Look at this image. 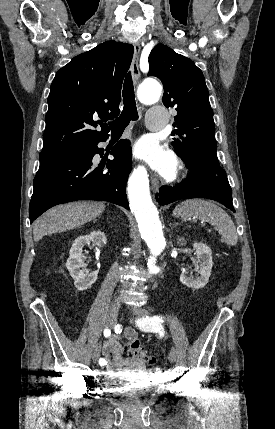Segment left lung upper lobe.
<instances>
[{"label":"left lung upper lobe","mask_w":275,"mask_h":429,"mask_svg":"<svg viewBox=\"0 0 275 429\" xmlns=\"http://www.w3.org/2000/svg\"><path fill=\"white\" fill-rule=\"evenodd\" d=\"M148 76L164 86L163 104L177 110L172 145L186 164L210 161L219 164L213 110L202 71L194 62L159 44L149 55Z\"/></svg>","instance_id":"1"}]
</instances>
